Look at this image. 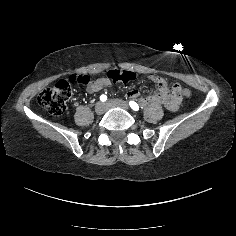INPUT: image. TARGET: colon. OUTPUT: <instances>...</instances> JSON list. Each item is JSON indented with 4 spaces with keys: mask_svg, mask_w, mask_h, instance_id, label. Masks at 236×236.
Here are the masks:
<instances>
[{
    "mask_svg": "<svg viewBox=\"0 0 236 236\" xmlns=\"http://www.w3.org/2000/svg\"><path fill=\"white\" fill-rule=\"evenodd\" d=\"M105 79L110 83H129L135 79L133 72L128 70H109ZM90 86L93 81L87 75L71 76L58 81L53 87L46 88L38 95V103L54 116H61L67 108V102L72 94V84ZM184 97H189L191 91L187 88L181 90Z\"/></svg>",
    "mask_w": 236,
    "mask_h": 236,
    "instance_id": "1",
    "label": "colon"
}]
</instances>
